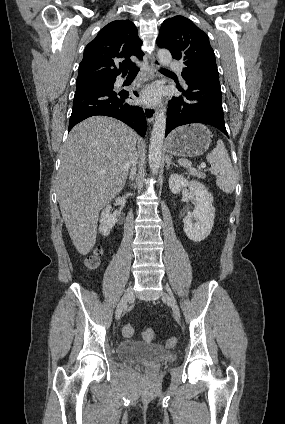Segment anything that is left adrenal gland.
Here are the masks:
<instances>
[{
	"label": "left adrenal gland",
	"mask_w": 285,
	"mask_h": 424,
	"mask_svg": "<svg viewBox=\"0 0 285 424\" xmlns=\"http://www.w3.org/2000/svg\"><path fill=\"white\" fill-rule=\"evenodd\" d=\"M166 168L167 169H169L170 168V165H174L175 166V164L174 163H172V161H171V157L170 156H166Z\"/></svg>",
	"instance_id": "obj_1"
}]
</instances>
